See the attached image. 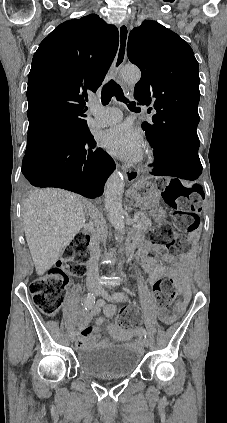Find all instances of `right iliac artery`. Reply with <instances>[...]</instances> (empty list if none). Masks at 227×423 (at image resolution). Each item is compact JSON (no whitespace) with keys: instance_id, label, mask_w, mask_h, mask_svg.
Wrapping results in <instances>:
<instances>
[{"instance_id":"1","label":"right iliac artery","mask_w":227,"mask_h":423,"mask_svg":"<svg viewBox=\"0 0 227 423\" xmlns=\"http://www.w3.org/2000/svg\"><path fill=\"white\" fill-rule=\"evenodd\" d=\"M95 304V296L93 293H88L84 301V307L86 310H90ZM79 332L75 331V335H78Z\"/></svg>"}]
</instances>
